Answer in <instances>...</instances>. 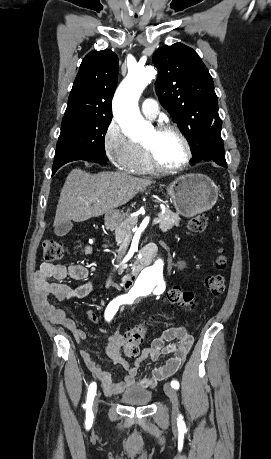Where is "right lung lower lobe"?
I'll use <instances>...</instances> for the list:
<instances>
[{"label": "right lung lower lobe", "instance_id": "1", "mask_svg": "<svg viewBox=\"0 0 271 459\" xmlns=\"http://www.w3.org/2000/svg\"><path fill=\"white\" fill-rule=\"evenodd\" d=\"M75 160H85L102 164H107L108 162V160L102 159L98 156L89 155L85 153H73L54 161L52 176L61 166Z\"/></svg>", "mask_w": 271, "mask_h": 459}]
</instances>
